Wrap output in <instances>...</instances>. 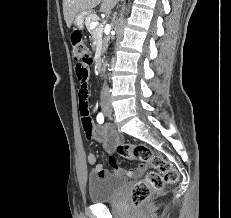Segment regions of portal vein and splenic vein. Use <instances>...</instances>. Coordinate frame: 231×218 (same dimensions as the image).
<instances>
[{
    "label": "portal vein and splenic vein",
    "mask_w": 231,
    "mask_h": 218,
    "mask_svg": "<svg viewBox=\"0 0 231 218\" xmlns=\"http://www.w3.org/2000/svg\"><path fill=\"white\" fill-rule=\"evenodd\" d=\"M97 25H98V22H92L91 25H90V27L91 28H95Z\"/></svg>",
    "instance_id": "18ae733b"
}]
</instances>
